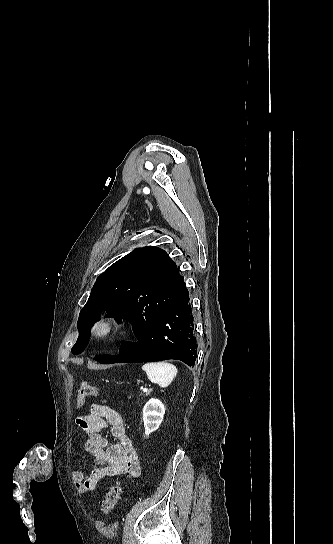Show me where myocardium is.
<instances>
[{"mask_svg": "<svg viewBox=\"0 0 333 544\" xmlns=\"http://www.w3.org/2000/svg\"><path fill=\"white\" fill-rule=\"evenodd\" d=\"M116 327L117 323L113 317L101 316L91 325L90 335L96 340H106L114 334Z\"/></svg>", "mask_w": 333, "mask_h": 544, "instance_id": "obj_1", "label": "myocardium"}]
</instances>
